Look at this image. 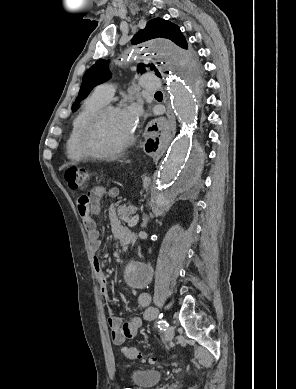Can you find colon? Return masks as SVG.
<instances>
[{"mask_svg":"<svg viewBox=\"0 0 296 389\" xmlns=\"http://www.w3.org/2000/svg\"><path fill=\"white\" fill-rule=\"evenodd\" d=\"M64 176L71 189L80 190L86 186L90 173L84 167L72 166L66 169ZM122 352L129 359L145 360V356L137 348L125 346L122 348ZM149 361L153 362L154 358H149Z\"/></svg>","mask_w":296,"mask_h":389,"instance_id":"obj_1","label":"colon"}]
</instances>
